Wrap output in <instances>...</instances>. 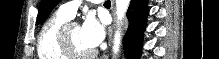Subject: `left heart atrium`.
I'll return each mask as SVG.
<instances>
[{
	"label": "left heart atrium",
	"instance_id": "left-heart-atrium-1",
	"mask_svg": "<svg viewBox=\"0 0 219 59\" xmlns=\"http://www.w3.org/2000/svg\"><path fill=\"white\" fill-rule=\"evenodd\" d=\"M83 41L90 47H97L104 37V27L95 17L88 16L80 27Z\"/></svg>",
	"mask_w": 219,
	"mask_h": 59
}]
</instances>
